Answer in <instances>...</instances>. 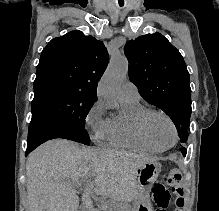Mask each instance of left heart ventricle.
<instances>
[{"mask_svg":"<svg viewBox=\"0 0 219 211\" xmlns=\"http://www.w3.org/2000/svg\"><path fill=\"white\" fill-rule=\"evenodd\" d=\"M150 135L161 148L173 144L174 133L170 123L162 116H152L148 124Z\"/></svg>","mask_w":219,"mask_h":211,"instance_id":"1","label":"left heart ventricle"}]
</instances>
